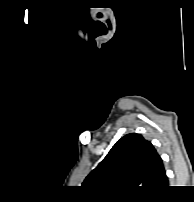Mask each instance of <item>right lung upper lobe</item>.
<instances>
[{
  "mask_svg": "<svg viewBox=\"0 0 194 202\" xmlns=\"http://www.w3.org/2000/svg\"><path fill=\"white\" fill-rule=\"evenodd\" d=\"M163 161L140 134L122 137L83 186L105 196H152L167 188Z\"/></svg>",
  "mask_w": 194,
  "mask_h": 202,
  "instance_id": "cb5924a9",
  "label": "right lung upper lobe"
}]
</instances>
